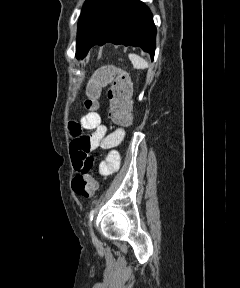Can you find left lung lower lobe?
<instances>
[{
  "label": "left lung lower lobe",
  "mask_w": 240,
  "mask_h": 288,
  "mask_svg": "<svg viewBox=\"0 0 240 288\" xmlns=\"http://www.w3.org/2000/svg\"><path fill=\"white\" fill-rule=\"evenodd\" d=\"M156 28L148 7L139 0H110L84 46L76 53L83 59L94 45L107 42L139 46L151 59L155 53Z\"/></svg>",
  "instance_id": "1"
}]
</instances>
